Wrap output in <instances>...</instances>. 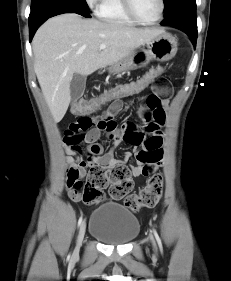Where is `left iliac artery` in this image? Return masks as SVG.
I'll list each match as a JSON object with an SVG mask.
<instances>
[{"label":"left iliac artery","instance_id":"obj_1","mask_svg":"<svg viewBox=\"0 0 231 281\" xmlns=\"http://www.w3.org/2000/svg\"><path fill=\"white\" fill-rule=\"evenodd\" d=\"M153 233H154V236H155V238L157 240V243H158V245L160 247V250H162V243H161V240H160V238H159V236H158V234H157L155 229H153Z\"/></svg>","mask_w":231,"mask_h":281}]
</instances>
